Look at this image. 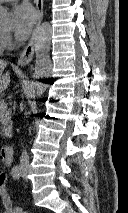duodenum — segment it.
I'll list each match as a JSON object with an SVG mask.
<instances>
[{"mask_svg":"<svg viewBox=\"0 0 128 213\" xmlns=\"http://www.w3.org/2000/svg\"><path fill=\"white\" fill-rule=\"evenodd\" d=\"M14 149L12 146H3L0 149V158L5 164H10L13 160Z\"/></svg>","mask_w":128,"mask_h":213,"instance_id":"duodenum-1","label":"duodenum"}]
</instances>
